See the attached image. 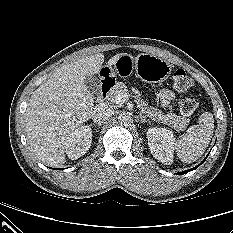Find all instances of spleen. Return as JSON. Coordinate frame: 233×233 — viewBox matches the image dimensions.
<instances>
[{
    "label": "spleen",
    "mask_w": 233,
    "mask_h": 233,
    "mask_svg": "<svg viewBox=\"0 0 233 233\" xmlns=\"http://www.w3.org/2000/svg\"><path fill=\"white\" fill-rule=\"evenodd\" d=\"M198 127L177 140L174 149L182 162L192 163L200 158L208 147L214 130L212 113L205 112L199 117Z\"/></svg>",
    "instance_id": "spleen-1"
}]
</instances>
